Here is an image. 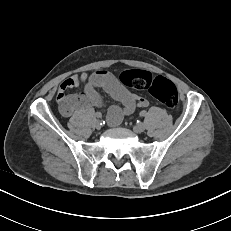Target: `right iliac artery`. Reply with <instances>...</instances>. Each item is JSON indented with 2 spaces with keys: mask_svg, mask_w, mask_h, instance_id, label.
<instances>
[{
  "mask_svg": "<svg viewBox=\"0 0 231 231\" xmlns=\"http://www.w3.org/2000/svg\"><path fill=\"white\" fill-rule=\"evenodd\" d=\"M95 116H96L97 118H101V117H102V114H101L100 112H96V113H95Z\"/></svg>",
  "mask_w": 231,
  "mask_h": 231,
  "instance_id": "82829eb1",
  "label": "right iliac artery"
}]
</instances>
